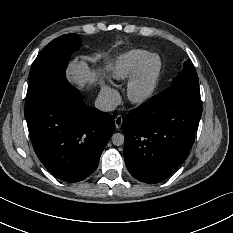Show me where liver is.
Returning <instances> with one entry per match:
<instances>
[{
    "mask_svg": "<svg viewBox=\"0 0 233 233\" xmlns=\"http://www.w3.org/2000/svg\"><path fill=\"white\" fill-rule=\"evenodd\" d=\"M85 57L86 55H80L78 60L76 58L71 59L64 71L66 81L80 92L95 88L101 83L105 72H113L116 66V59L113 58L97 68L92 67Z\"/></svg>",
    "mask_w": 233,
    "mask_h": 233,
    "instance_id": "1",
    "label": "liver"
}]
</instances>
